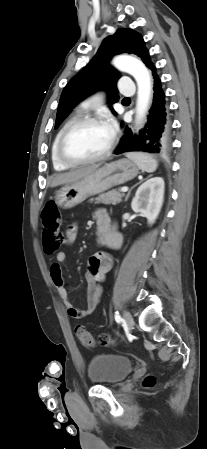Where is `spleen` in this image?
Returning a JSON list of instances; mask_svg holds the SVG:
<instances>
[{"label":"spleen","instance_id":"1","mask_svg":"<svg viewBox=\"0 0 207 449\" xmlns=\"http://www.w3.org/2000/svg\"><path fill=\"white\" fill-rule=\"evenodd\" d=\"M126 156L132 160L139 169L145 172H154L158 167V162L151 155L145 153L130 152Z\"/></svg>","mask_w":207,"mask_h":449}]
</instances>
